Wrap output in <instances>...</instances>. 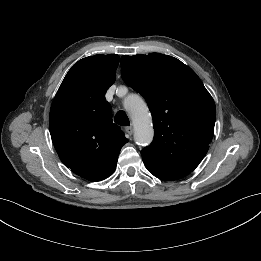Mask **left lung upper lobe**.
Masks as SVG:
<instances>
[{
  "instance_id": "left-lung-upper-lobe-1",
  "label": "left lung upper lobe",
  "mask_w": 261,
  "mask_h": 261,
  "mask_svg": "<svg viewBox=\"0 0 261 261\" xmlns=\"http://www.w3.org/2000/svg\"><path fill=\"white\" fill-rule=\"evenodd\" d=\"M124 82L147 101L155 137L142 158L174 170L193 171L209 149L216 108L194 71L159 53L121 57Z\"/></svg>"
}]
</instances>
